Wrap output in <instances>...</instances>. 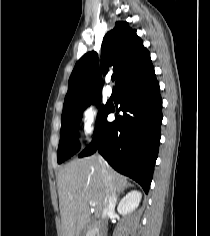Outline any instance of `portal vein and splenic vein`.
Here are the masks:
<instances>
[{"instance_id":"obj_1","label":"portal vein and splenic vein","mask_w":210,"mask_h":236,"mask_svg":"<svg viewBox=\"0 0 210 236\" xmlns=\"http://www.w3.org/2000/svg\"><path fill=\"white\" fill-rule=\"evenodd\" d=\"M90 205H91L92 207H94V206H95V203H93V202H90Z\"/></svg>"}]
</instances>
